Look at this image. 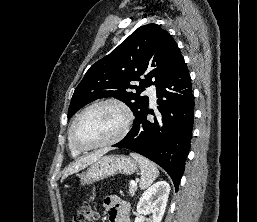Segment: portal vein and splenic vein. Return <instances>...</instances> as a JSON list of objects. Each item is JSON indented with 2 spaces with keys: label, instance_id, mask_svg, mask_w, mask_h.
<instances>
[{
  "label": "portal vein and splenic vein",
  "instance_id": "1",
  "mask_svg": "<svg viewBox=\"0 0 257 222\" xmlns=\"http://www.w3.org/2000/svg\"><path fill=\"white\" fill-rule=\"evenodd\" d=\"M130 185H131V186H137V182H136V181H131V182H130Z\"/></svg>",
  "mask_w": 257,
  "mask_h": 222
}]
</instances>
